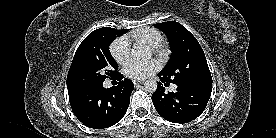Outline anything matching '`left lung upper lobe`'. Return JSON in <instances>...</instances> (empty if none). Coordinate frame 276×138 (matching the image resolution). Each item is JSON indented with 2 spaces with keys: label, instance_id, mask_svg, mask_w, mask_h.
<instances>
[{
  "label": "left lung upper lobe",
  "instance_id": "obj_1",
  "mask_svg": "<svg viewBox=\"0 0 276 138\" xmlns=\"http://www.w3.org/2000/svg\"><path fill=\"white\" fill-rule=\"evenodd\" d=\"M167 35L172 54L160 72L167 82L176 85H209L212 77L205 54L197 39L180 23L154 24Z\"/></svg>",
  "mask_w": 276,
  "mask_h": 138
}]
</instances>
